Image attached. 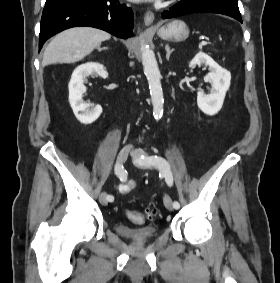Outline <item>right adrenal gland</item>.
Instances as JSON below:
<instances>
[{
  "instance_id": "1",
  "label": "right adrenal gland",
  "mask_w": 280,
  "mask_h": 283,
  "mask_svg": "<svg viewBox=\"0 0 280 283\" xmlns=\"http://www.w3.org/2000/svg\"><path fill=\"white\" fill-rule=\"evenodd\" d=\"M98 50H99V51L108 50V47L99 48Z\"/></svg>"
}]
</instances>
